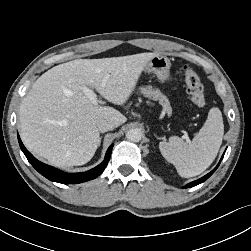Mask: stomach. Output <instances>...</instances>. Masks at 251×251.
I'll use <instances>...</instances> for the list:
<instances>
[{
    "label": "stomach",
    "instance_id": "0dacf381",
    "mask_svg": "<svg viewBox=\"0 0 251 251\" xmlns=\"http://www.w3.org/2000/svg\"><path fill=\"white\" fill-rule=\"evenodd\" d=\"M171 62L163 55H156L150 59L145 67V72L154 73L157 78L165 82L172 79L170 74Z\"/></svg>",
    "mask_w": 251,
    "mask_h": 251
}]
</instances>
